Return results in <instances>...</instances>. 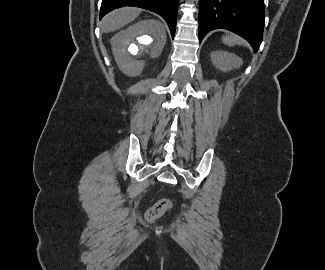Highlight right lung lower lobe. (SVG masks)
Returning a JSON list of instances; mask_svg holds the SVG:
<instances>
[{
  "mask_svg": "<svg viewBox=\"0 0 325 270\" xmlns=\"http://www.w3.org/2000/svg\"><path fill=\"white\" fill-rule=\"evenodd\" d=\"M179 0H102L100 19L113 9L135 6L150 10L162 16L167 22L172 37L175 35Z\"/></svg>",
  "mask_w": 325,
  "mask_h": 270,
  "instance_id": "1",
  "label": "right lung lower lobe"
}]
</instances>
